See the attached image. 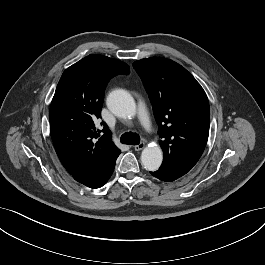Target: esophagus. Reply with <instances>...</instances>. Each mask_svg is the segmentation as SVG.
Returning <instances> with one entry per match:
<instances>
[{
  "label": "esophagus",
  "mask_w": 265,
  "mask_h": 265,
  "mask_svg": "<svg viewBox=\"0 0 265 265\" xmlns=\"http://www.w3.org/2000/svg\"><path fill=\"white\" fill-rule=\"evenodd\" d=\"M145 147V143H139L138 145L134 146L135 151H140Z\"/></svg>",
  "instance_id": "obj_1"
}]
</instances>
